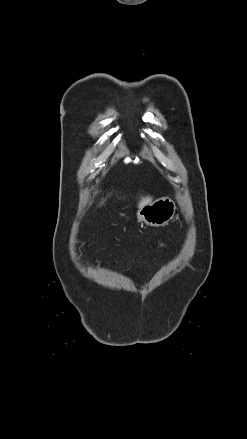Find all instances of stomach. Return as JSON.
Masks as SVG:
<instances>
[{
  "label": "stomach",
  "mask_w": 247,
  "mask_h": 439,
  "mask_svg": "<svg viewBox=\"0 0 247 439\" xmlns=\"http://www.w3.org/2000/svg\"><path fill=\"white\" fill-rule=\"evenodd\" d=\"M175 210V203L171 199L159 198L140 207L137 218L149 226H164L174 217Z\"/></svg>",
  "instance_id": "0dacf381"
}]
</instances>
